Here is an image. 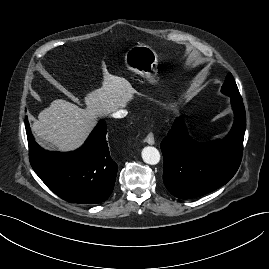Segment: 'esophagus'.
<instances>
[{
    "mask_svg": "<svg viewBox=\"0 0 269 269\" xmlns=\"http://www.w3.org/2000/svg\"><path fill=\"white\" fill-rule=\"evenodd\" d=\"M145 141L150 144V145H153L155 143V139H154V135L152 132H150L146 138H145Z\"/></svg>",
    "mask_w": 269,
    "mask_h": 269,
    "instance_id": "34e87169",
    "label": "esophagus"
}]
</instances>
